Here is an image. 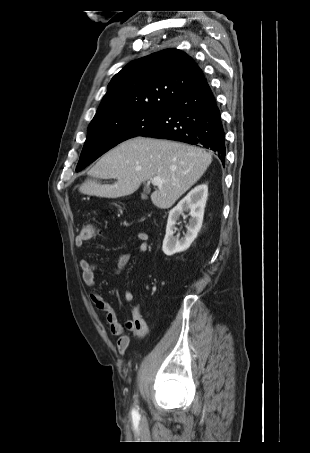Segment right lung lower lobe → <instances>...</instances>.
Wrapping results in <instances>:
<instances>
[{
	"label": "right lung lower lobe",
	"instance_id": "1",
	"mask_svg": "<svg viewBox=\"0 0 310 453\" xmlns=\"http://www.w3.org/2000/svg\"><path fill=\"white\" fill-rule=\"evenodd\" d=\"M139 136L201 145L214 151L223 163L225 160V133L221 115L205 78L167 106L160 118Z\"/></svg>",
	"mask_w": 310,
	"mask_h": 453
}]
</instances>
